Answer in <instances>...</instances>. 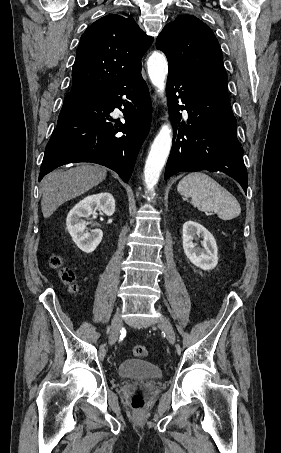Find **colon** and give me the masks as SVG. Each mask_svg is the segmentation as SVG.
Returning <instances> with one entry per match:
<instances>
[{
    "instance_id": "5ec220e1",
    "label": "colon",
    "mask_w": 281,
    "mask_h": 453,
    "mask_svg": "<svg viewBox=\"0 0 281 453\" xmlns=\"http://www.w3.org/2000/svg\"><path fill=\"white\" fill-rule=\"evenodd\" d=\"M48 264L50 267L59 270L60 279L69 284L76 282L75 272L69 268H61L62 259L57 255H51L48 258ZM132 353L137 358H147L149 356V350L144 345H134L132 347ZM131 406L134 410L139 411L144 407V399L139 394H134L131 399Z\"/></svg>"
}]
</instances>
